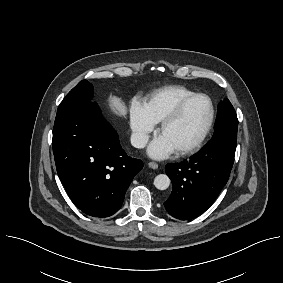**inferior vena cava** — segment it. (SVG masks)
Wrapping results in <instances>:
<instances>
[{
  "mask_svg": "<svg viewBox=\"0 0 283 283\" xmlns=\"http://www.w3.org/2000/svg\"><path fill=\"white\" fill-rule=\"evenodd\" d=\"M148 142V136L139 133L131 135V144L135 148H144Z\"/></svg>",
  "mask_w": 283,
  "mask_h": 283,
  "instance_id": "602c4592",
  "label": "inferior vena cava"
}]
</instances>
